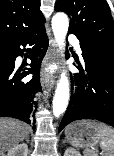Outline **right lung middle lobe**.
Segmentation results:
<instances>
[{
	"label": "right lung middle lobe",
	"mask_w": 114,
	"mask_h": 156,
	"mask_svg": "<svg viewBox=\"0 0 114 156\" xmlns=\"http://www.w3.org/2000/svg\"><path fill=\"white\" fill-rule=\"evenodd\" d=\"M9 60V55L6 53V50L0 46V65Z\"/></svg>",
	"instance_id": "obj_1"
}]
</instances>
